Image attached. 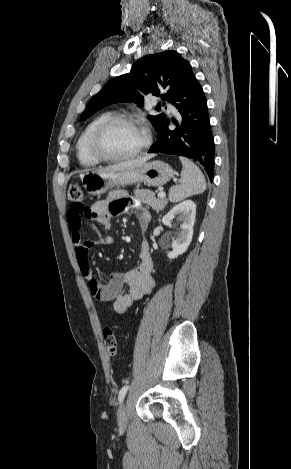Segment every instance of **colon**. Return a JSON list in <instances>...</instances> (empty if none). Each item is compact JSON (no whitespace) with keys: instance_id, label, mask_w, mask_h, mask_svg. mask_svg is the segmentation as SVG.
Here are the masks:
<instances>
[{"instance_id":"obj_1","label":"colon","mask_w":291,"mask_h":469,"mask_svg":"<svg viewBox=\"0 0 291 469\" xmlns=\"http://www.w3.org/2000/svg\"><path fill=\"white\" fill-rule=\"evenodd\" d=\"M68 199L73 203V207L76 208L80 213L88 214V208L82 204L83 190L80 185L72 184L68 190ZM104 345L108 354L112 357L118 353V344L115 334L110 329H105L104 334Z\"/></svg>"}]
</instances>
